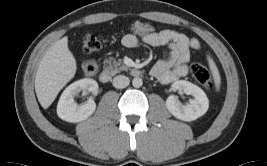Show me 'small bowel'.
Instances as JSON below:
<instances>
[{
	"mask_svg": "<svg viewBox=\"0 0 267 166\" xmlns=\"http://www.w3.org/2000/svg\"><path fill=\"white\" fill-rule=\"evenodd\" d=\"M142 41L150 46H166L168 55L155 63L152 75L161 83L169 84L188 73L187 63L191 50H200V43L196 39L171 29H164L149 34L128 33L122 38L123 46L135 48Z\"/></svg>",
	"mask_w": 267,
	"mask_h": 166,
	"instance_id": "obj_1",
	"label": "small bowel"
}]
</instances>
